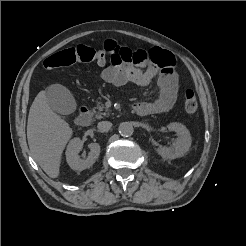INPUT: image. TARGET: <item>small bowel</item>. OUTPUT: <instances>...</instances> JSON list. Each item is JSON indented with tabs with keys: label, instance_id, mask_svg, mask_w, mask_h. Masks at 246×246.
<instances>
[{
	"label": "small bowel",
	"instance_id": "1",
	"mask_svg": "<svg viewBox=\"0 0 246 246\" xmlns=\"http://www.w3.org/2000/svg\"><path fill=\"white\" fill-rule=\"evenodd\" d=\"M104 50L110 55V65L101 74L105 82L115 86L129 82L146 86L157 77L158 96L134 104L139 115L161 114L172 109L177 100L178 75L171 52L157 47L133 51L111 39L105 42Z\"/></svg>",
	"mask_w": 246,
	"mask_h": 246
}]
</instances>
